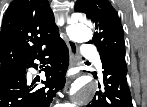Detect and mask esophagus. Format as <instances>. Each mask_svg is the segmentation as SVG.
Listing matches in <instances>:
<instances>
[{"label": "esophagus", "mask_w": 147, "mask_h": 107, "mask_svg": "<svg viewBox=\"0 0 147 107\" xmlns=\"http://www.w3.org/2000/svg\"><path fill=\"white\" fill-rule=\"evenodd\" d=\"M67 47L69 50V56H70V65L75 66L79 63V55H78V46L77 43L74 41H71L69 39L66 40ZM70 82V79L67 80V83Z\"/></svg>", "instance_id": "34e87169"}]
</instances>
